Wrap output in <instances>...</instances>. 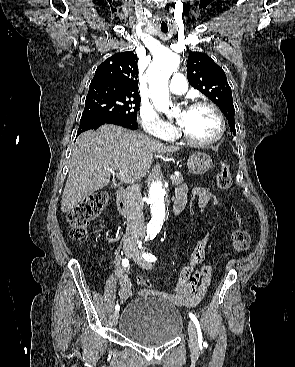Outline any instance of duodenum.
I'll return each instance as SVG.
<instances>
[{"label": "duodenum", "instance_id": "1", "mask_svg": "<svg viewBox=\"0 0 295 367\" xmlns=\"http://www.w3.org/2000/svg\"><path fill=\"white\" fill-rule=\"evenodd\" d=\"M116 203L121 215L127 216L130 213V204L128 193L124 188H120L117 192ZM184 208V203L175 201L173 204V213L178 214Z\"/></svg>", "mask_w": 295, "mask_h": 367}]
</instances>
